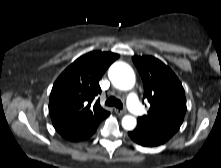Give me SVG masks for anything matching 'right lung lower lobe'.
<instances>
[{"mask_svg":"<svg viewBox=\"0 0 221 168\" xmlns=\"http://www.w3.org/2000/svg\"><path fill=\"white\" fill-rule=\"evenodd\" d=\"M99 123L90 127L81 128L75 132L64 133L61 135L69 141L78 142L92 136L95 133Z\"/></svg>","mask_w":221,"mask_h":168,"instance_id":"right-lung-lower-lobe-1","label":"right lung lower lobe"}]
</instances>
